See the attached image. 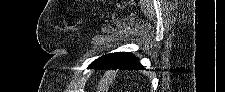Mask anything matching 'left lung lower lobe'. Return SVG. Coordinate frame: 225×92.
Returning <instances> with one entry per match:
<instances>
[{
	"label": "left lung lower lobe",
	"mask_w": 225,
	"mask_h": 92,
	"mask_svg": "<svg viewBox=\"0 0 225 92\" xmlns=\"http://www.w3.org/2000/svg\"><path fill=\"white\" fill-rule=\"evenodd\" d=\"M96 70H140L144 67L139 63V59L134 55L126 52H118L109 56L104 62H102Z\"/></svg>",
	"instance_id": "left-lung-lower-lobe-1"
}]
</instances>
